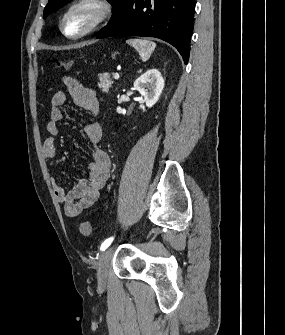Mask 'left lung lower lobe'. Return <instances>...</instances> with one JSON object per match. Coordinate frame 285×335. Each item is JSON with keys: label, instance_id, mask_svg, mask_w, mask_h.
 I'll return each mask as SVG.
<instances>
[{"label": "left lung lower lobe", "instance_id": "1", "mask_svg": "<svg viewBox=\"0 0 285 335\" xmlns=\"http://www.w3.org/2000/svg\"><path fill=\"white\" fill-rule=\"evenodd\" d=\"M194 9L195 0H121L97 38L119 35L156 37L173 45L187 64Z\"/></svg>", "mask_w": 285, "mask_h": 335}]
</instances>
